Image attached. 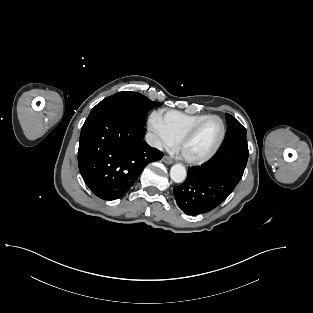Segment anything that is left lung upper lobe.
Here are the masks:
<instances>
[{
  "label": "left lung upper lobe",
  "mask_w": 313,
  "mask_h": 313,
  "mask_svg": "<svg viewBox=\"0 0 313 313\" xmlns=\"http://www.w3.org/2000/svg\"><path fill=\"white\" fill-rule=\"evenodd\" d=\"M226 120L228 129L223 143L232 139H246V129L232 115L226 114Z\"/></svg>",
  "instance_id": "obj_1"
}]
</instances>
